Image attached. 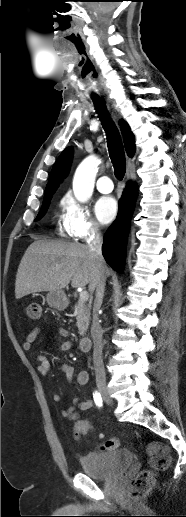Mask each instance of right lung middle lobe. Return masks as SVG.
I'll list each match as a JSON object with an SVG mask.
<instances>
[{
  "label": "right lung middle lobe",
  "instance_id": "dd1d6c3e",
  "mask_svg": "<svg viewBox=\"0 0 186 517\" xmlns=\"http://www.w3.org/2000/svg\"><path fill=\"white\" fill-rule=\"evenodd\" d=\"M53 193H54V192H50V193H48V194H46V195L44 196V202H43V205H42L41 210H40V212H39V214H38V216L36 217V219H35V220H38L39 218H41V217L46 213L47 208H48V205H49L48 203H49V201L51 200V198H52V194H53Z\"/></svg>",
  "mask_w": 186,
  "mask_h": 517
}]
</instances>
